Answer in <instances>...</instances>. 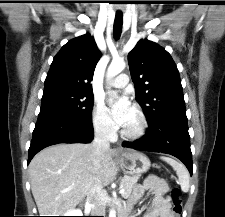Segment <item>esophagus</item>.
Wrapping results in <instances>:
<instances>
[{
	"label": "esophagus",
	"instance_id": "34e87169",
	"mask_svg": "<svg viewBox=\"0 0 225 217\" xmlns=\"http://www.w3.org/2000/svg\"><path fill=\"white\" fill-rule=\"evenodd\" d=\"M122 152V148L120 146L117 147V153H121Z\"/></svg>",
	"mask_w": 225,
	"mask_h": 217
}]
</instances>
